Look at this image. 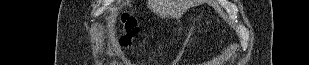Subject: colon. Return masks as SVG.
Instances as JSON below:
<instances>
[{
	"instance_id": "obj_1",
	"label": "colon",
	"mask_w": 309,
	"mask_h": 65,
	"mask_svg": "<svg viewBox=\"0 0 309 65\" xmlns=\"http://www.w3.org/2000/svg\"><path fill=\"white\" fill-rule=\"evenodd\" d=\"M121 23L126 34L121 36L120 42L122 45L127 46L131 43V38L139 33V28L136 19L126 13L121 15Z\"/></svg>"
}]
</instances>
